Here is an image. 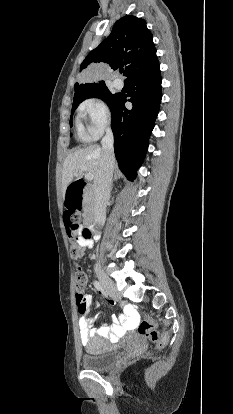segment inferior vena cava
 I'll return each mask as SVG.
<instances>
[{
	"label": "inferior vena cava",
	"instance_id": "1",
	"mask_svg": "<svg viewBox=\"0 0 233 414\" xmlns=\"http://www.w3.org/2000/svg\"><path fill=\"white\" fill-rule=\"evenodd\" d=\"M114 137L111 129H107L102 144L100 170L94 179V223L101 225L105 221L106 205L110 198V186L115 167Z\"/></svg>",
	"mask_w": 233,
	"mask_h": 414
}]
</instances>
